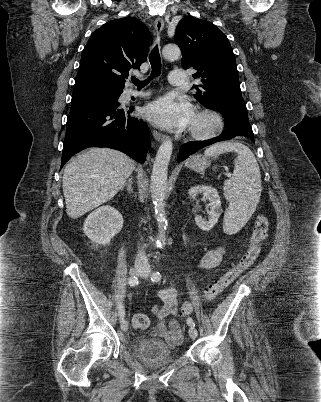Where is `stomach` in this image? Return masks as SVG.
Masks as SVG:
<instances>
[{"mask_svg":"<svg viewBox=\"0 0 321 402\" xmlns=\"http://www.w3.org/2000/svg\"><path fill=\"white\" fill-rule=\"evenodd\" d=\"M186 165L196 172H204L205 169L210 165V161L206 156L196 154L187 160Z\"/></svg>","mask_w":321,"mask_h":402,"instance_id":"1","label":"stomach"}]
</instances>
